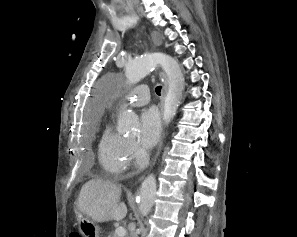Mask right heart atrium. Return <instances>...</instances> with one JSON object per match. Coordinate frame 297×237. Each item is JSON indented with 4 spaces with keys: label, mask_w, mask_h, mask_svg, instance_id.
I'll return each mask as SVG.
<instances>
[{
    "label": "right heart atrium",
    "mask_w": 297,
    "mask_h": 237,
    "mask_svg": "<svg viewBox=\"0 0 297 237\" xmlns=\"http://www.w3.org/2000/svg\"><path fill=\"white\" fill-rule=\"evenodd\" d=\"M128 151H129V162L136 165L139 162L141 150L135 143L128 142Z\"/></svg>",
    "instance_id": "d8ad5b80"
}]
</instances>
